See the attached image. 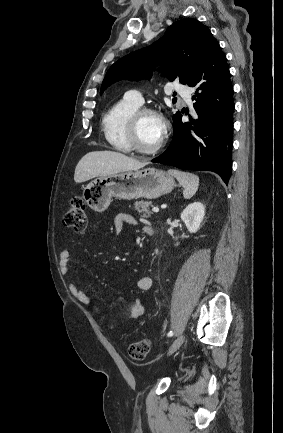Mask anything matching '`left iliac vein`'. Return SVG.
Masks as SVG:
<instances>
[{
    "mask_svg": "<svg viewBox=\"0 0 283 433\" xmlns=\"http://www.w3.org/2000/svg\"><path fill=\"white\" fill-rule=\"evenodd\" d=\"M185 341V335H180L179 337H177V339L172 343V345L170 346L169 350H168V355H171L172 353H174L179 347H181V345L183 344V342Z\"/></svg>",
    "mask_w": 283,
    "mask_h": 433,
    "instance_id": "4c4485c4",
    "label": "left iliac vein"
}]
</instances>
